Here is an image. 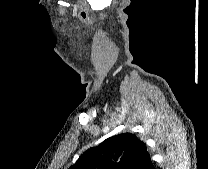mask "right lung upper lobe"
Segmentation results:
<instances>
[{"label": "right lung upper lobe", "instance_id": "1", "mask_svg": "<svg viewBox=\"0 0 208 169\" xmlns=\"http://www.w3.org/2000/svg\"><path fill=\"white\" fill-rule=\"evenodd\" d=\"M151 163L146 144L122 133L85 151L69 169H147Z\"/></svg>", "mask_w": 208, "mask_h": 169}]
</instances>
